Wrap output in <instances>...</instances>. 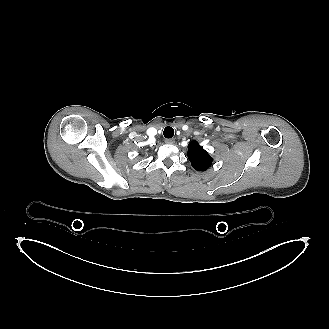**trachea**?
<instances>
[{"label": "trachea", "mask_w": 329, "mask_h": 329, "mask_svg": "<svg viewBox=\"0 0 329 329\" xmlns=\"http://www.w3.org/2000/svg\"><path fill=\"white\" fill-rule=\"evenodd\" d=\"M163 135L165 138H172L174 135V129L170 126H167L164 131H163Z\"/></svg>", "instance_id": "3493384b"}]
</instances>
